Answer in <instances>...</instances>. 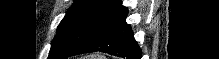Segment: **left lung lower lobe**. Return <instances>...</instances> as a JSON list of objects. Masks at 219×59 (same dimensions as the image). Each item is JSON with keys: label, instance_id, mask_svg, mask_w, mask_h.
<instances>
[{"label": "left lung lower lobe", "instance_id": "0a47b994", "mask_svg": "<svg viewBox=\"0 0 219 59\" xmlns=\"http://www.w3.org/2000/svg\"><path fill=\"white\" fill-rule=\"evenodd\" d=\"M127 14L120 0H111L92 33L68 57L99 51L124 59H141V50L126 23Z\"/></svg>", "mask_w": 219, "mask_h": 59}]
</instances>
